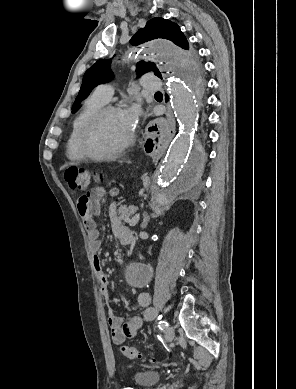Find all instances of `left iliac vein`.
<instances>
[{
	"label": "left iliac vein",
	"mask_w": 296,
	"mask_h": 389,
	"mask_svg": "<svg viewBox=\"0 0 296 389\" xmlns=\"http://www.w3.org/2000/svg\"><path fill=\"white\" fill-rule=\"evenodd\" d=\"M174 335H175L174 328L171 327V326L168 327L166 329V332H165V339H166V341L167 342H171L173 340V338H174Z\"/></svg>",
	"instance_id": "left-iliac-vein-1"
}]
</instances>
